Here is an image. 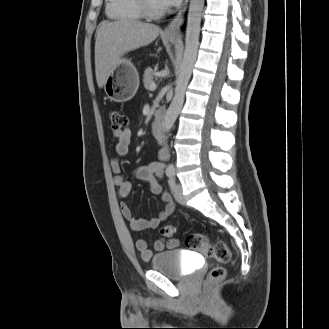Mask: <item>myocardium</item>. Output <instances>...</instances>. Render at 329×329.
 Segmentation results:
<instances>
[{
  "label": "myocardium",
  "instance_id": "myocardium-1",
  "mask_svg": "<svg viewBox=\"0 0 329 329\" xmlns=\"http://www.w3.org/2000/svg\"><path fill=\"white\" fill-rule=\"evenodd\" d=\"M138 4H139V7H140L143 15L149 19L160 18V17L164 16L168 11V9L166 7L162 8V9H155L151 5L150 0H138Z\"/></svg>",
  "mask_w": 329,
  "mask_h": 329
}]
</instances>
